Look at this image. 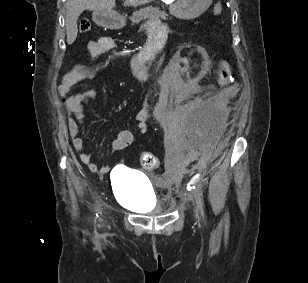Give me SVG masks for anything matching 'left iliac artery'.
Segmentation results:
<instances>
[{
  "label": "left iliac artery",
  "mask_w": 308,
  "mask_h": 283,
  "mask_svg": "<svg viewBox=\"0 0 308 283\" xmlns=\"http://www.w3.org/2000/svg\"><path fill=\"white\" fill-rule=\"evenodd\" d=\"M196 202H197L199 213L201 214V216H204L203 198H202V194L199 191L196 192Z\"/></svg>",
  "instance_id": "left-iliac-artery-1"
}]
</instances>
